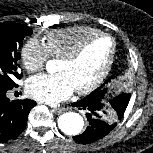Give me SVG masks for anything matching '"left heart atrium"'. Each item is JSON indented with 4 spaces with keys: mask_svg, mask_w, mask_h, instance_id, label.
<instances>
[{
    "mask_svg": "<svg viewBox=\"0 0 153 153\" xmlns=\"http://www.w3.org/2000/svg\"><path fill=\"white\" fill-rule=\"evenodd\" d=\"M74 90L68 76L62 72L36 75L27 83L30 97L50 105L66 100Z\"/></svg>",
    "mask_w": 153,
    "mask_h": 153,
    "instance_id": "left-heart-atrium-1",
    "label": "left heart atrium"
}]
</instances>
